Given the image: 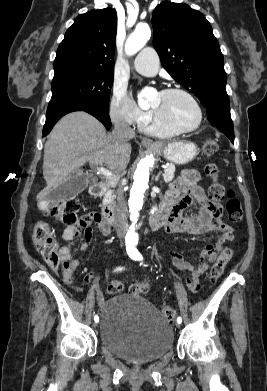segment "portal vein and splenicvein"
I'll list each match as a JSON object with an SVG mask.
<instances>
[{
    "mask_svg": "<svg viewBox=\"0 0 267 391\" xmlns=\"http://www.w3.org/2000/svg\"><path fill=\"white\" fill-rule=\"evenodd\" d=\"M100 162H102V161L100 160ZM162 168L165 169V168H167V166L163 165ZM96 170L98 173H100L106 177H114L115 176L113 174V172H111L110 170L103 168V167H96Z\"/></svg>",
    "mask_w": 267,
    "mask_h": 391,
    "instance_id": "1",
    "label": "portal vein and splenic vein"
}]
</instances>
